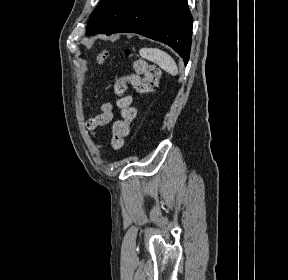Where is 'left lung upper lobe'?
I'll use <instances>...</instances> for the list:
<instances>
[{"mask_svg":"<svg viewBox=\"0 0 288 280\" xmlns=\"http://www.w3.org/2000/svg\"><path fill=\"white\" fill-rule=\"evenodd\" d=\"M139 0H101L88 22L87 34L110 35Z\"/></svg>","mask_w":288,"mask_h":280,"instance_id":"1","label":"left lung upper lobe"}]
</instances>
